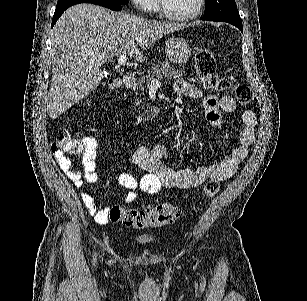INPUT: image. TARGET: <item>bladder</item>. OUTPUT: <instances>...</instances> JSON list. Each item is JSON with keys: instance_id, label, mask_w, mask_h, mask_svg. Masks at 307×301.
Returning a JSON list of instances; mask_svg holds the SVG:
<instances>
[{"instance_id": "bladder-1", "label": "bladder", "mask_w": 307, "mask_h": 301, "mask_svg": "<svg viewBox=\"0 0 307 301\" xmlns=\"http://www.w3.org/2000/svg\"><path fill=\"white\" fill-rule=\"evenodd\" d=\"M154 240V236H139L138 237V242L139 243H145V242H150Z\"/></svg>"}]
</instances>
